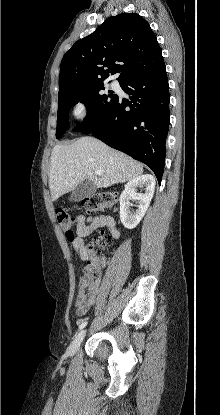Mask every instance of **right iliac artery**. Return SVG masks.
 Segmentation results:
<instances>
[{
	"label": "right iliac artery",
	"mask_w": 220,
	"mask_h": 415,
	"mask_svg": "<svg viewBox=\"0 0 220 415\" xmlns=\"http://www.w3.org/2000/svg\"><path fill=\"white\" fill-rule=\"evenodd\" d=\"M86 325H87V321L82 322V323L79 325V330L83 329Z\"/></svg>",
	"instance_id": "82829eb1"
}]
</instances>
